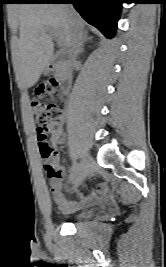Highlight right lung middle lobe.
I'll list each match as a JSON object with an SVG mask.
<instances>
[{
  "label": "right lung middle lobe",
  "mask_w": 166,
  "mask_h": 267,
  "mask_svg": "<svg viewBox=\"0 0 166 267\" xmlns=\"http://www.w3.org/2000/svg\"><path fill=\"white\" fill-rule=\"evenodd\" d=\"M23 1H25V0H18V3L23 2Z\"/></svg>",
  "instance_id": "dd1d6c3e"
}]
</instances>
